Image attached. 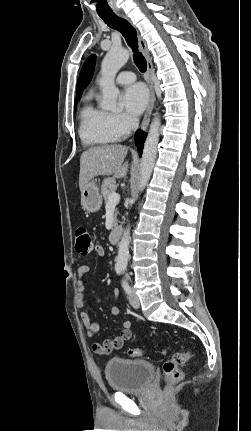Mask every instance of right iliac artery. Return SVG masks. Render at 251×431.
Returning <instances> with one entry per match:
<instances>
[{
    "label": "right iliac artery",
    "mask_w": 251,
    "mask_h": 431,
    "mask_svg": "<svg viewBox=\"0 0 251 431\" xmlns=\"http://www.w3.org/2000/svg\"><path fill=\"white\" fill-rule=\"evenodd\" d=\"M122 271H123V268H121V267H117L116 268V272H117V274H121L122 273Z\"/></svg>",
    "instance_id": "82829eb1"
}]
</instances>
